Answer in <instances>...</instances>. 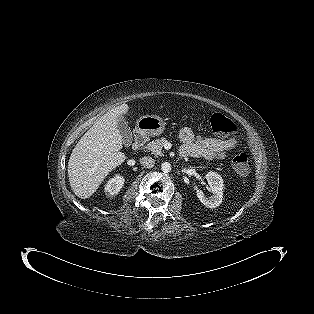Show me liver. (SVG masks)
Instances as JSON below:
<instances>
[{
    "label": "liver",
    "mask_w": 314,
    "mask_h": 314,
    "mask_svg": "<svg viewBox=\"0 0 314 314\" xmlns=\"http://www.w3.org/2000/svg\"><path fill=\"white\" fill-rule=\"evenodd\" d=\"M129 110L127 104L117 106L102 117L81 137L68 162L71 189L81 199L92 196L107 175L126 159L118 119Z\"/></svg>",
    "instance_id": "obj_1"
}]
</instances>
